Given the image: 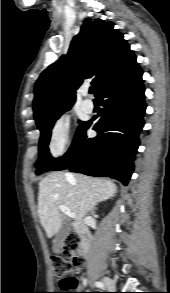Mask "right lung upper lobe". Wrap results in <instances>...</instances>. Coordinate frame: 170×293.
<instances>
[{"label":"right lung upper lobe","instance_id":"1","mask_svg":"<svg viewBox=\"0 0 170 293\" xmlns=\"http://www.w3.org/2000/svg\"><path fill=\"white\" fill-rule=\"evenodd\" d=\"M113 22L87 18L67 55L45 69L35 84L34 118L38 128L52 122L75 101V89L85 79L99 93L109 82L134 70L138 63Z\"/></svg>","mask_w":170,"mask_h":293}]
</instances>
